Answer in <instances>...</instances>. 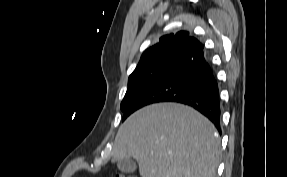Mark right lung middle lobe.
I'll list each match as a JSON object with an SVG mask.
<instances>
[{
	"instance_id": "right-lung-middle-lobe-1",
	"label": "right lung middle lobe",
	"mask_w": 287,
	"mask_h": 177,
	"mask_svg": "<svg viewBox=\"0 0 287 177\" xmlns=\"http://www.w3.org/2000/svg\"><path fill=\"white\" fill-rule=\"evenodd\" d=\"M181 63L178 58H167L156 62L149 67L134 71L128 80V89L123 101L121 110L125 113L128 107L145 91V89L161 75ZM127 115L123 116L125 120Z\"/></svg>"
}]
</instances>
